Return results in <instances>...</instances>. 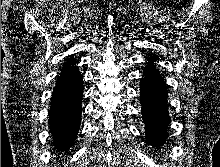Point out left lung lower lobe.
<instances>
[{
  "label": "left lung lower lobe",
  "instance_id": "left-lung-lower-lobe-1",
  "mask_svg": "<svg viewBox=\"0 0 220 167\" xmlns=\"http://www.w3.org/2000/svg\"><path fill=\"white\" fill-rule=\"evenodd\" d=\"M148 61L140 81V102L142 117L146 125V142L159 148L167 137V126L170 122L165 82L155 69L154 60Z\"/></svg>",
  "mask_w": 220,
  "mask_h": 167
}]
</instances>
